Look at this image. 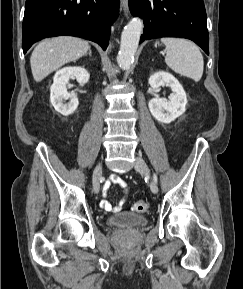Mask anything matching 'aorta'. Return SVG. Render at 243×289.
Instances as JSON below:
<instances>
[{
  "mask_svg": "<svg viewBox=\"0 0 243 289\" xmlns=\"http://www.w3.org/2000/svg\"><path fill=\"white\" fill-rule=\"evenodd\" d=\"M143 22L140 19H132L124 28L121 34L120 50L117 62L122 68H129L134 60L137 51Z\"/></svg>",
  "mask_w": 243,
  "mask_h": 289,
  "instance_id": "1",
  "label": "aorta"
}]
</instances>
